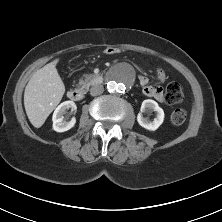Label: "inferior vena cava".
Segmentation results:
<instances>
[{
  "label": "inferior vena cava",
  "instance_id": "1",
  "mask_svg": "<svg viewBox=\"0 0 222 222\" xmlns=\"http://www.w3.org/2000/svg\"><path fill=\"white\" fill-rule=\"evenodd\" d=\"M103 91H104V87L103 85H100V84L94 85L90 88V94L92 96L100 95L103 93Z\"/></svg>",
  "mask_w": 222,
  "mask_h": 222
}]
</instances>
